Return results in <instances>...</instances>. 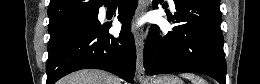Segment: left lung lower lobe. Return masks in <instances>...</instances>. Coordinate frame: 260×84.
<instances>
[{"label": "left lung lower lobe", "instance_id": "obj_1", "mask_svg": "<svg viewBox=\"0 0 260 84\" xmlns=\"http://www.w3.org/2000/svg\"><path fill=\"white\" fill-rule=\"evenodd\" d=\"M158 2L154 1V8ZM174 3L177 12L172 20L182 24L167 33L157 25L151 26L144 47L146 73L198 72L225 84L220 1L174 0Z\"/></svg>", "mask_w": 260, "mask_h": 84}]
</instances>
